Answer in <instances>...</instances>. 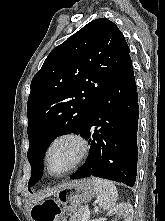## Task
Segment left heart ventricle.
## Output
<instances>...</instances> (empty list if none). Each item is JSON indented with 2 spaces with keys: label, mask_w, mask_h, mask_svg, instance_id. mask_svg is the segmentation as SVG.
Wrapping results in <instances>:
<instances>
[{
  "label": "left heart ventricle",
  "mask_w": 165,
  "mask_h": 221,
  "mask_svg": "<svg viewBox=\"0 0 165 221\" xmlns=\"http://www.w3.org/2000/svg\"><path fill=\"white\" fill-rule=\"evenodd\" d=\"M78 155V145L72 140L57 143L49 154L50 167L55 172L69 168Z\"/></svg>",
  "instance_id": "obj_1"
}]
</instances>
